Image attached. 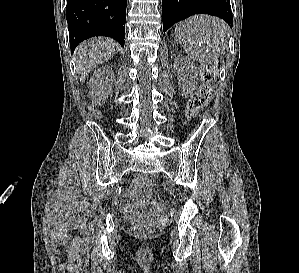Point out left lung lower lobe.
Segmentation results:
<instances>
[{
    "label": "left lung lower lobe",
    "instance_id": "obj_1",
    "mask_svg": "<svg viewBox=\"0 0 299 273\" xmlns=\"http://www.w3.org/2000/svg\"><path fill=\"white\" fill-rule=\"evenodd\" d=\"M199 13L217 16L230 27L233 25L230 0H162L164 33L175 23Z\"/></svg>",
    "mask_w": 299,
    "mask_h": 273
}]
</instances>
